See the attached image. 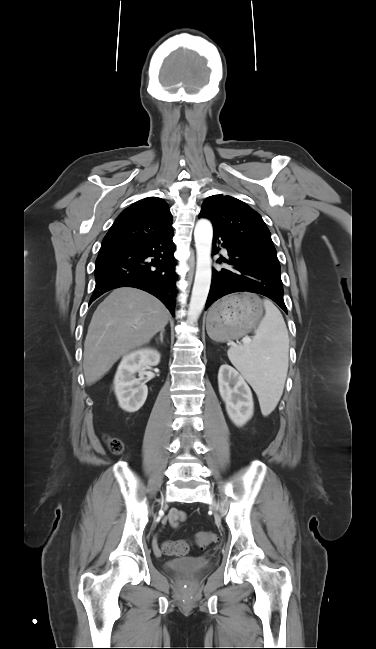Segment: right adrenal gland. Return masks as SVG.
I'll list each match as a JSON object with an SVG mask.
<instances>
[{
    "instance_id": "obj_1",
    "label": "right adrenal gland",
    "mask_w": 376,
    "mask_h": 649,
    "mask_svg": "<svg viewBox=\"0 0 376 649\" xmlns=\"http://www.w3.org/2000/svg\"><path fill=\"white\" fill-rule=\"evenodd\" d=\"M164 332H165V329L162 328L161 331H160V336H159V338H158V339L160 340L161 343H163Z\"/></svg>"
}]
</instances>
